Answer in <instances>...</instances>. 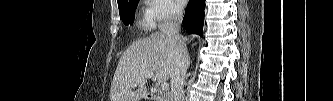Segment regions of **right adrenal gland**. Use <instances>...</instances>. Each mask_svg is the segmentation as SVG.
I'll list each match as a JSON object with an SVG mask.
<instances>
[{
  "mask_svg": "<svg viewBox=\"0 0 333 101\" xmlns=\"http://www.w3.org/2000/svg\"><path fill=\"white\" fill-rule=\"evenodd\" d=\"M188 65H190V57L188 56Z\"/></svg>",
  "mask_w": 333,
  "mask_h": 101,
  "instance_id": "right-adrenal-gland-1",
  "label": "right adrenal gland"
}]
</instances>
